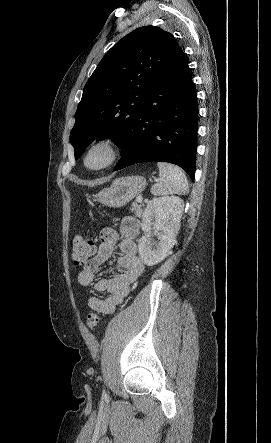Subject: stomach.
Listing matches in <instances>:
<instances>
[{"instance_id":"stomach-1","label":"stomach","mask_w":271,"mask_h":443,"mask_svg":"<svg viewBox=\"0 0 271 443\" xmlns=\"http://www.w3.org/2000/svg\"><path fill=\"white\" fill-rule=\"evenodd\" d=\"M146 186L147 182L142 176L118 178L112 182L110 188H105L97 194V202L108 206V208H121L131 202L140 192H143Z\"/></svg>"}]
</instances>
